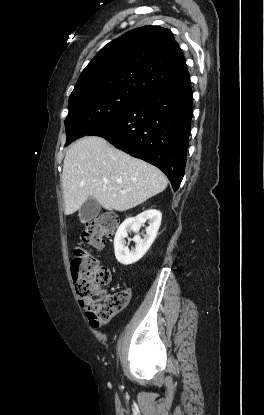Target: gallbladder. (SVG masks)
Wrapping results in <instances>:
<instances>
[{
	"label": "gallbladder",
	"mask_w": 264,
	"mask_h": 415,
	"mask_svg": "<svg viewBox=\"0 0 264 415\" xmlns=\"http://www.w3.org/2000/svg\"><path fill=\"white\" fill-rule=\"evenodd\" d=\"M100 212V204L96 199L90 197L79 209V219L82 223L91 221L98 216Z\"/></svg>",
	"instance_id": "bac80fb5"
}]
</instances>
